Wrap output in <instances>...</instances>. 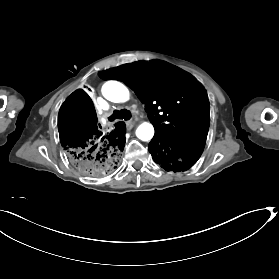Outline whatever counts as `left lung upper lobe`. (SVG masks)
Returning <instances> with one entry per match:
<instances>
[{"instance_id":"5c2ea615","label":"left lung upper lobe","mask_w":279,"mask_h":279,"mask_svg":"<svg viewBox=\"0 0 279 279\" xmlns=\"http://www.w3.org/2000/svg\"><path fill=\"white\" fill-rule=\"evenodd\" d=\"M124 82L145 104L156 139L205 144L209 129L206 91L184 72L157 61L134 62L99 72Z\"/></svg>"}]
</instances>
